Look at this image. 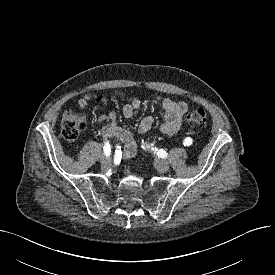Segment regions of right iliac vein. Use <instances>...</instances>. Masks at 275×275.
Masks as SVG:
<instances>
[{"mask_svg":"<svg viewBox=\"0 0 275 275\" xmlns=\"http://www.w3.org/2000/svg\"><path fill=\"white\" fill-rule=\"evenodd\" d=\"M100 162L104 167H108L111 164V158L107 156H101Z\"/></svg>","mask_w":275,"mask_h":275,"instance_id":"1","label":"right iliac vein"}]
</instances>
